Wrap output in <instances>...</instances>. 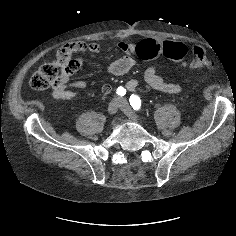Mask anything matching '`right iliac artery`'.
<instances>
[{
	"label": "right iliac artery",
	"mask_w": 236,
	"mask_h": 236,
	"mask_svg": "<svg viewBox=\"0 0 236 236\" xmlns=\"http://www.w3.org/2000/svg\"><path fill=\"white\" fill-rule=\"evenodd\" d=\"M116 93L119 95V96H124L126 94V89L122 86L118 87L117 88V91Z\"/></svg>",
	"instance_id": "obj_1"
}]
</instances>
